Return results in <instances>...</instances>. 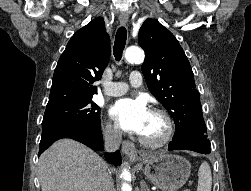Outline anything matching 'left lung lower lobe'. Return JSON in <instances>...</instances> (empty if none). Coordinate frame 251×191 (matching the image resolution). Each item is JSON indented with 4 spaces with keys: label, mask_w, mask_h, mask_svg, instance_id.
Masks as SVG:
<instances>
[{
    "label": "left lung lower lobe",
    "mask_w": 251,
    "mask_h": 191,
    "mask_svg": "<svg viewBox=\"0 0 251 191\" xmlns=\"http://www.w3.org/2000/svg\"><path fill=\"white\" fill-rule=\"evenodd\" d=\"M168 150H191L202 154H209L211 147L206 134L188 133L173 139L169 144Z\"/></svg>",
    "instance_id": "1"
}]
</instances>
